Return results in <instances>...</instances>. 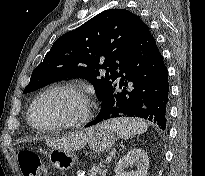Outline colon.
<instances>
[{
	"instance_id": "5ec220e1",
	"label": "colon",
	"mask_w": 205,
	"mask_h": 176,
	"mask_svg": "<svg viewBox=\"0 0 205 176\" xmlns=\"http://www.w3.org/2000/svg\"><path fill=\"white\" fill-rule=\"evenodd\" d=\"M17 162L22 176H46L47 169L40 157L32 150H20Z\"/></svg>"
}]
</instances>
